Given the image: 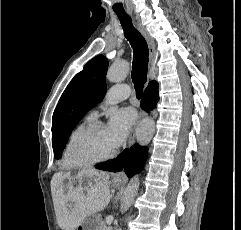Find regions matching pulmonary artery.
<instances>
[{
  "label": "pulmonary artery",
  "mask_w": 241,
  "mask_h": 230,
  "mask_svg": "<svg viewBox=\"0 0 241 230\" xmlns=\"http://www.w3.org/2000/svg\"><path fill=\"white\" fill-rule=\"evenodd\" d=\"M130 90L127 85H118L109 89L105 103H116L120 100L126 99L129 96ZM96 111H92L90 116H95Z\"/></svg>",
  "instance_id": "e3ab8cb5"
}]
</instances>
